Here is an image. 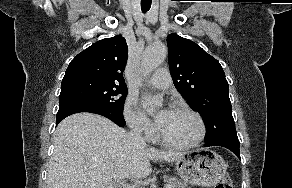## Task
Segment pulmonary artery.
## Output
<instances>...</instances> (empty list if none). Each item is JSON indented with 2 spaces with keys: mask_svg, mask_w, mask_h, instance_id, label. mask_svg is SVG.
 Segmentation results:
<instances>
[{
  "mask_svg": "<svg viewBox=\"0 0 292 188\" xmlns=\"http://www.w3.org/2000/svg\"><path fill=\"white\" fill-rule=\"evenodd\" d=\"M148 83L157 89L166 90L172 84V79L167 68L157 69L148 79Z\"/></svg>",
  "mask_w": 292,
  "mask_h": 188,
  "instance_id": "pulmonary-artery-1",
  "label": "pulmonary artery"
}]
</instances>
